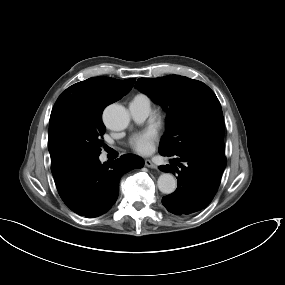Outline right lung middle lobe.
Wrapping results in <instances>:
<instances>
[{
  "instance_id": "dd1d6c3e",
  "label": "right lung middle lobe",
  "mask_w": 285,
  "mask_h": 285,
  "mask_svg": "<svg viewBox=\"0 0 285 285\" xmlns=\"http://www.w3.org/2000/svg\"><path fill=\"white\" fill-rule=\"evenodd\" d=\"M105 105L72 95H60L50 116L48 148L51 171L63 170L99 157L103 134Z\"/></svg>"
}]
</instances>
